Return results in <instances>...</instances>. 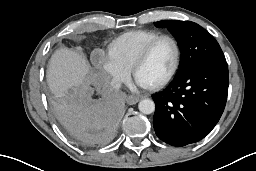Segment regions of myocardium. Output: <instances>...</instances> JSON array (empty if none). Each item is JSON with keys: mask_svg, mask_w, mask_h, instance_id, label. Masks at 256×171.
Segmentation results:
<instances>
[{"mask_svg": "<svg viewBox=\"0 0 256 171\" xmlns=\"http://www.w3.org/2000/svg\"><path fill=\"white\" fill-rule=\"evenodd\" d=\"M169 40L172 42L175 50V57H174V63L172 66V69L170 70L169 74L160 82L155 83L153 85L146 86V88L150 90H159L168 85L173 78L175 77L179 66H180V61H181V50L178 41L170 36V35H159L158 37L154 38L151 40L139 53V55L136 57L134 60L132 67H131V73L134 78H136V73L138 69L144 64V62L148 59L150 53L152 52L153 48L162 40Z\"/></svg>", "mask_w": 256, "mask_h": 171, "instance_id": "myocardium-1", "label": "myocardium"}]
</instances>
